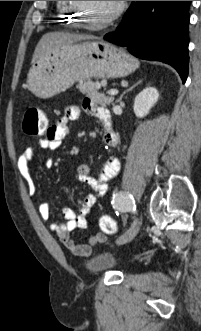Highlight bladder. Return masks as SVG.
<instances>
[{"mask_svg": "<svg viewBox=\"0 0 201 331\" xmlns=\"http://www.w3.org/2000/svg\"><path fill=\"white\" fill-rule=\"evenodd\" d=\"M86 266L91 272L99 273L108 270H115L118 266V261L112 253L108 251H101L93 254L86 261Z\"/></svg>", "mask_w": 201, "mask_h": 331, "instance_id": "1", "label": "bladder"}]
</instances>
